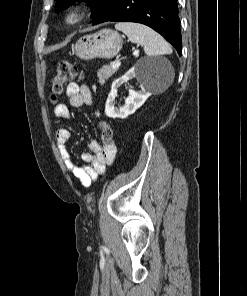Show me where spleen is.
Returning <instances> with one entry per match:
<instances>
[{"label": "spleen", "instance_id": "3e777b00", "mask_svg": "<svg viewBox=\"0 0 247 296\" xmlns=\"http://www.w3.org/2000/svg\"><path fill=\"white\" fill-rule=\"evenodd\" d=\"M115 28L122 31L132 43H137L144 48L145 54L149 57L161 56L172 53L170 45L165 39L153 29L133 22H119ZM169 83L174 79V72L171 66Z\"/></svg>", "mask_w": 247, "mask_h": 296}]
</instances>
